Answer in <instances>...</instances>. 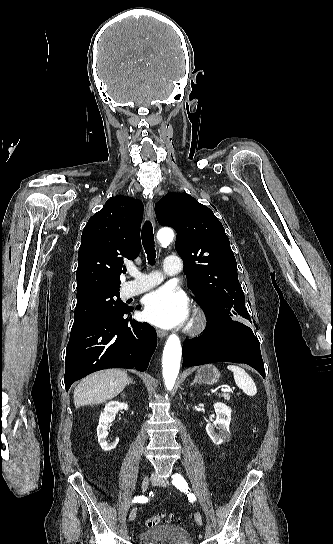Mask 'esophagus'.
Masks as SVG:
<instances>
[{
  "instance_id": "obj_1",
  "label": "esophagus",
  "mask_w": 333,
  "mask_h": 544,
  "mask_svg": "<svg viewBox=\"0 0 333 544\" xmlns=\"http://www.w3.org/2000/svg\"><path fill=\"white\" fill-rule=\"evenodd\" d=\"M146 214H147V217L148 219L152 222V224L154 225L155 224V219H154V204H153V201L152 200H148L147 201V204H146ZM156 333H157V336L159 338H163L167 335V332L164 331V330H161V329H156Z\"/></svg>"
}]
</instances>
